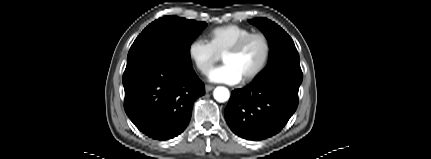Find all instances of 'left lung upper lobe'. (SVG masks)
<instances>
[{
  "mask_svg": "<svg viewBox=\"0 0 431 159\" xmlns=\"http://www.w3.org/2000/svg\"><path fill=\"white\" fill-rule=\"evenodd\" d=\"M248 21L264 33L270 45L268 65L255 80L281 71L302 73L299 54L294 42L280 26L266 18H255Z\"/></svg>",
  "mask_w": 431,
  "mask_h": 159,
  "instance_id": "obj_1",
  "label": "left lung upper lobe"
}]
</instances>
